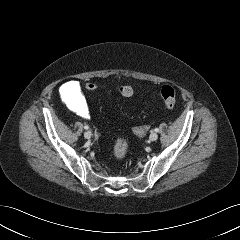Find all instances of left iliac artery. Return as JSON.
Returning a JSON list of instances; mask_svg holds the SVG:
<instances>
[{
    "instance_id": "left-iliac-artery-1",
    "label": "left iliac artery",
    "mask_w": 240,
    "mask_h": 240,
    "mask_svg": "<svg viewBox=\"0 0 240 240\" xmlns=\"http://www.w3.org/2000/svg\"><path fill=\"white\" fill-rule=\"evenodd\" d=\"M154 131H155V132H159V129H158V128H155Z\"/></svg>"
}]
</instances>
